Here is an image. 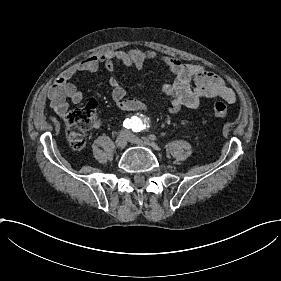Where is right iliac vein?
<instances>
[{
    "instance_id": "right-iliac-vein-1",
    "label": "right iliac vein",
    "mask_w": 281,
    "mask_h": 281,
    "mask_svg": "<svg viewBox=\"0 0 281 281\" xmlns=\"http://www.w3.org/2000/svg\"><path fill=\"white\" fill-rule=\"evenodd\" d=\"M128 141V136L126 134H119L115 139V146L117 148H124L126 146V142Z\"/></svg>"
}]
</instances>
